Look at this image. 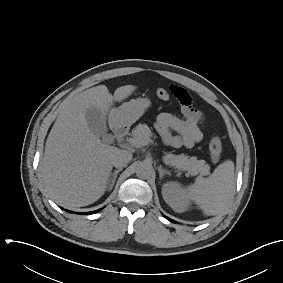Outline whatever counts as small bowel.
<instances>
[{"mask_svg":"<svg viewBox=\"0 0 283 283\" xmlns=\"http://www.w3.org/2000/svg\"><path fill=\"white\" fill-rule=\"evenodd\" d=\"M170 91L181 105L182 118L171 113H160L155 122L164 143L172 148H191L203 138V114L192 103L190 94L182 87L170 86Z\"/></svg>","mask_w":283,"mask_h":283,"instance_id":"obj_1","label":"small bowel"}]
</instances>
